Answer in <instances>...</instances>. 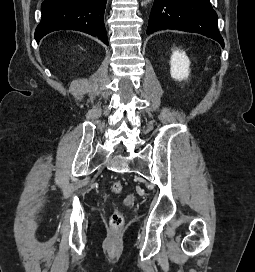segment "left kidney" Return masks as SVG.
<instances>
[{
    "instance_id": "obj_1",
    "label": "left kidney",
    "mask_w": 255,
    "mask_h": 272,
    "mask_svg": "<svg viewBox=\"0 0 255 272\" xmlns=\"http://www.w3.org/2000/svg\"><path fill=\"white\" fill-rule=\"evenodd\" d=\"M190 61L184 51L175 50L170 60V74L175 80L187 79L190 73Z\"/></svg>"
}]
</instances>
